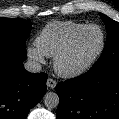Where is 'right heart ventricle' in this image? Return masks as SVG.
Segmentation results:
<instances>
[{
	"label": "right heart ventricle",
	"instance_id": "1",
	"mask_svg": "<svg viewBox=\"0 0 119 119\" xmlns=\"http://www.w3.org/2000/svg\"><path fill=\"white\" fill-rule=\"evenodd\" d=\"M83 23L53 21L48 23L36 38V46L47 57H55Z\"/></svg>",
	"mask_w": 119,
	"mask_h": 119
}]
</instances>
